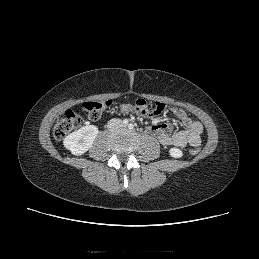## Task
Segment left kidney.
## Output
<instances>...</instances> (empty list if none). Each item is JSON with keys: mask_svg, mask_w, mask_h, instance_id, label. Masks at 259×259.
<instances>
[{"mask_svg": "<svg viewBox=\"0 0 259 259\" xmlns=\"http://www.w3.org/2000/svg\"><path fill=\"white\" fill-rule=\"evenodd\" d=\"M169 154L173 158H181L182 155H183L182 151L180 149H178V148H171L169 150Z\"/></svg>", "mask_w": 259, "mask_h": 259, "instance_id": "1", "label": "left kidney"}]
</instances>
